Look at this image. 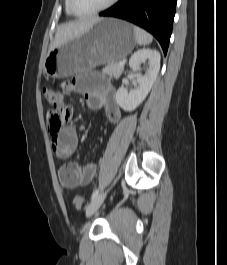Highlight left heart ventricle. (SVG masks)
<instances>
[{
	"instance_id": "1",
	"label": "left heart ventricle",
	"mask_w": 227,
	"mask_h": 265,
	"mask_svg": "<svg viewBox=\"0 0 227 265\" xmlns=\"http://www.w3.org/2000/svg\"><path fill=\"white\" fill-rule=\"evenodd\" d=\"M73 1H74V7L77 11L88 12L102 6L108 0H73Z\"/></svg>"
}]
</instances>
